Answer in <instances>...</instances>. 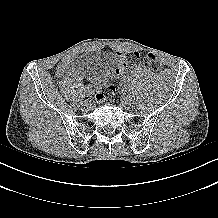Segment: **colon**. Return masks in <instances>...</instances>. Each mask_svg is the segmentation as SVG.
Returning <instances> with one entry per match:
<instances>
[{
	"label": "colon",
	"instance_id": "5ec220e1",
	"mask_svg": "<svg viewBox=\"0 0 218 218\" xmlns=\"http://www.w3.org/2000/svg\"><path fill=\"white\" fill-rule=\"evenodd\" d=\"M145 65L151 71H159L161 69V61L158 57L152 53L145 56L140 55L137 52L128 53L121 65L113 70V76L115 78L123 75L129 68L137 67L139 65ZM115 92L113 85H105L99 88L96 92V99L99 102H104L109 99Z\"/></svg>",
	"mask_w": 218,
	"mask_h": 218
}]
</instances>
